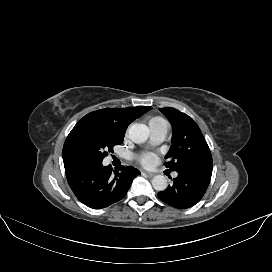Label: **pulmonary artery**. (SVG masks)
Instances as JSON below:
<instances>
[{"instance_id":"pulmonary-artery-1","label":"pulmonary artery","mask_w":272,"mask_h":272,"mask_svg":"<svg viewBox=\"0 0 272 272\" xmlns=\"http://www.w3.org/2000/svg\"><path fill=\"white\" fill-rule=\"evenodd\" d=\"M168 132V126L166 122H163L156 126L150 127L151 141L154 144H159L164 141ZM177 173H173V177H177Z\"/></svg>"}]
</instances>
